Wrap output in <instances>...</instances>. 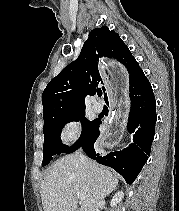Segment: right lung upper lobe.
<instances>
[{
    "mask_svg": "<svg viewBox=\"0 0 179 211\" xmlns=\"http://www.w3.org/2000/svg\"><path fill=\"white\" fill-rule=\"evenodd\" d=\"M114 59L125 66L129 80L141 69L117 33L106 26L93 29L78 59L65 67L43 91L44 124L54 117L85 110V97L103 84L107 64Z\"/></svg>",
    "mask_w": 179,
    "mask_h": 211,
    "instance_id": "obj_1",
    "label": "right lung upper lobe"
}]
</instances>
